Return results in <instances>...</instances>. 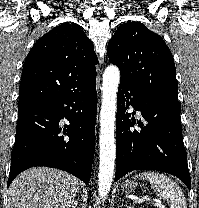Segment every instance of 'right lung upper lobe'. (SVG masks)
I'll return each instance as SVG.
<instances>
[{"mask_svg": "<svg viewBox=\"0 0 199 208\" xmlns=\"http://www.w3.org/2000/svg\"><path fill=\"white\" fill-rule=\"evenodd\" d=\"M93 43L82 28L65 22L42 36L24 62L19 106L83 88L96 79Z\"/></svg>", "mask_w": 199, "mask_h": 208, "instance_id": "1", "label": "right lung upper lobe"}]
</instances>
